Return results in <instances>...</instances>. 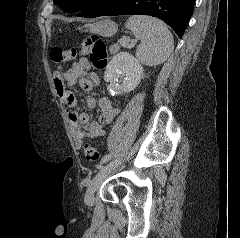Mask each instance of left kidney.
<instances>
[{
  "label": "left kidney",
  "mask_w": 240,
  "mask_h": 238,
  "mask_svg": "<svg viewBox=\"0 0 240 238\" xmlns=\"http://www.w3.org/2000/svg\"><path fill=\"white\" fill-rule=\"evenodd\" d=\"M142 73L143 67L137 59L128 52H120L107 64L104 80L109 83L111 93H129L139 84Z\"/></svg>",
  "instance_id": "1"
}]
</instances>
